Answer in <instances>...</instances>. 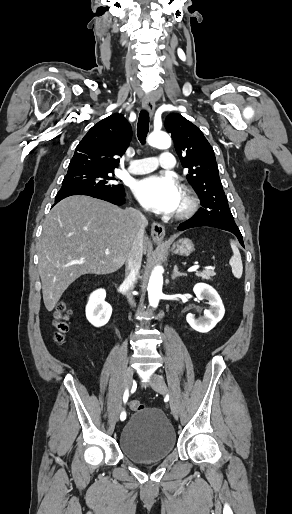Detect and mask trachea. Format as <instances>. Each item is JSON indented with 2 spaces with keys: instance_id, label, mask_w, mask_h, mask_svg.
<instances>
[{
  "instance_id": "trachea-1",
  "label": "trachea",
  "mask_w": 292,
  "mask_h": 514,
  "mask_svg": "<svg viewBox=\"0 0 292 514\" xmlns=\"http://www.w3.org/2000/svg\"><path fill=\"white\" fill-rule=\"evenodd\" d=\"M149 113L146 110H142L139 114L137 124V137L141 144L146 143V137L149 131Z\"/></svg>"
}]
</instances>
